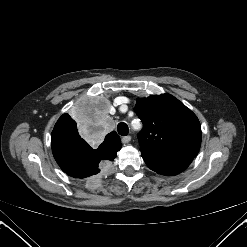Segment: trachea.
Masks as SVG:
<instances>
[{
  "instance_id": "1",
  "label": "trachea",
  "mask_w": 247,
  "mask_h": 247,
  "mask_svg": "<svg viewBox=\"0 0 247 247\" xmlns=\"http://www.w3.org/2000/svg\"><path fill=\"white\" fill-rule=\"evenodd\" d=\"M117 131L121 136H127L129 133V128L126 123L121 122L117 125Z\"/></svg>"
}]
</instances>
